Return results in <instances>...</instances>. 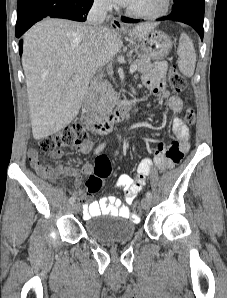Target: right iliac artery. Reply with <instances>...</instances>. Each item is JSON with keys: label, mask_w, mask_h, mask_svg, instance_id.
Returning a JSON list of instances; mask_svg holds the SVG:
<instances>
[{"label": "right iliac artery", "mask_w": 227, "mask_h": 298, "mask_svg": "<svg viewBox=\"0 0 227 298\" xmlns=\"http://www.w3.org/2000/svg\"><path fill=\"white\" fill-rule=\"evenodd\" d=\"M105 144L100 145L96 150L95 153L98 154L103 148H104ZM69 202L71 204H73L75 202V198L74 197H70Z\"/></svg>", "instance_id": "right-iliac-artery-1"}]
</instances>
